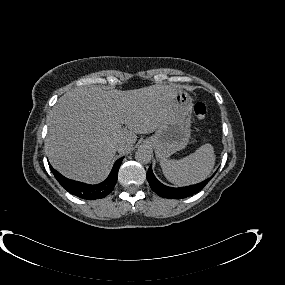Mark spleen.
Returning a JSON list of instances; mask_svg holds the SVG:
<instances>
[{"instance_id": "1", "label": "spleen", "mask_w": 285, "mask_h": 285, "mask_svg": "<svg viewBox=\"0 0 285 285\" xmlns=\"http://www.w3.org/2000/svg\"><path fill=\"white\" fill-rule=\"evenodd\" d=\"M215 159L212 145L204 144L180 160L161 159L160 165L167 180L183 186L205 180L215 165Z\"/></svg>"}]
</instances>
